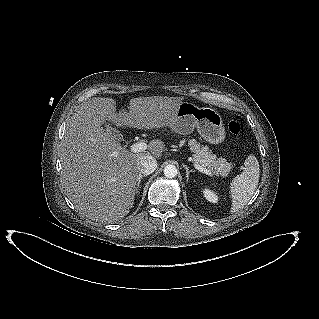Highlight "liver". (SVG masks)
<instances>
[{
	"label": "liver",
	"mask_w": 319,
	"mask_h": 319,
	"mask_svg": "<svg viewBox=\"0 0 319 319\" xmlns=\"http://www.w3.org/2000/svg\"><path fill=\"white\" fill-rule=\"evenodd\" d=\"M181 97L152 96L130 100V112H116V100L95 97L84 102L67 124L60 145L61 180L75 208L93 221L114 222L134 204L141 158H160L161 141H151L148 151L132 153L101 126L111 122L152 130L172 129ZM151 152V153H150Z\"/></svg>",
	"instance_id": "liver-1"
}]
</instances>
